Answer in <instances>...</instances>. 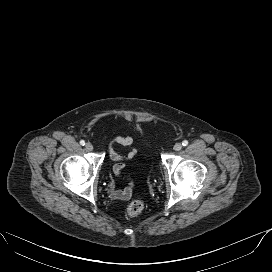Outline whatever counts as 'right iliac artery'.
Returning <instances> with one entry per match:
<instances>
[{"label": "right iliac artery", "instance_id": "1", "mask_svg": "<svg viewBox=\"0 0 272 272\" xmlns=\"http://www.w3.org/2000/svg\"><path fill=\"white\" fill-rule=\"evenodd\" d=\"M80 145L84 146V145H85V141H84V140H81V141H80Z\"/></svg>", "mask_w": 272, "mask_h": 272}]
</instances>
